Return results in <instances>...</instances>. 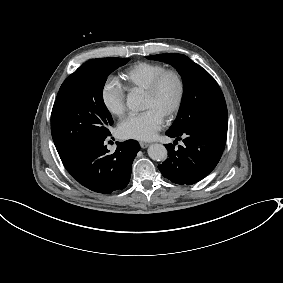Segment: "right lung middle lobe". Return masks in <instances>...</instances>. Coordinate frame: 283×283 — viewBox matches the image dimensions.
<instances>
[{
  "instance_id": "dd1d6c3e",
  "label": "right lung middle lobe",
  "mask_w": 283,
  "mask_h": 283,
  "mask_svg": "<svg viewBox=\"0 0 283 283\" xmlns=\"http://www.w3.org/2000/svg\"><path fill=\"white\" fill-rule=\"evenodd\" d=\"M129 58H97L82 64L63 82L51 114V132L61 159L86 143L110 135L113 119L103 101L107 77Z\"/></svg>"
}]
</instances>
